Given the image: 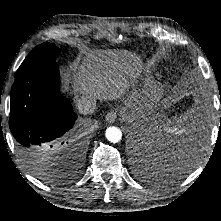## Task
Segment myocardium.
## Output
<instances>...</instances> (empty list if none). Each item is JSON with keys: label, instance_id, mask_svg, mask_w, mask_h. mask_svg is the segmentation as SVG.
<instances>
[{"label": "myocardium", "instance_id": "myocardium-1", "mask_svg": "<svg viewBox=\"0 0 221 221\" xmlns=\"http://www.w3.org/2000/svg\"><path fill=\"white\" fill-rule=\"evenodd\" d=\"M163 93V90L161 88L157 89L155 92V97H159Z\"/></svg>", "mask_w": 221, "mask_h": 221}]
</instances>
